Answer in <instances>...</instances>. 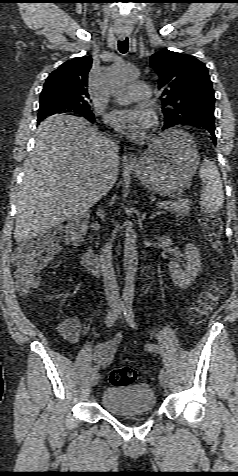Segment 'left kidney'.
Listing matches in <instances>:
<instances>
[{"label":"left kidney","mask_w":238,"mask_h":476,"mask_svg":"<svg viewBox=\"0 0 238 476\" xmlns=\"http://www.w3.org/2000/svg\"><path fill=\"white\" fill-rule=\"evenodd\" d=\"M184 251V255H180L186 261L184 269L179 266V260H173L169 264L171 278L180 288H188L191 285L201 266L200 253L194 244L188 243Z\"/></svg>","instance_id":"1"}]
</instances>
